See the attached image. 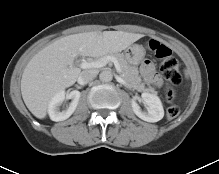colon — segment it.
Masks as SVG:
<instances>
[{"label": "colon", "instance_id": "5ec220e1", "mask_svg": "<svg viewBox=\"0 0 219 174\" xmlns=\"http://www.w3.org/2000/svg\"><path fill=\"white\" fill-rule=\"evenodd\" d=\"M147 48L160 61V72L166 83L165 95L170 103L166 109V116L168 119H174L180 113L179 107L172 103L175 96V87L182 82L180 63L172 51L158 41L150 40Z\"/></svg>", "mask_w": 219, "mask_h": 174}]
</instances>
